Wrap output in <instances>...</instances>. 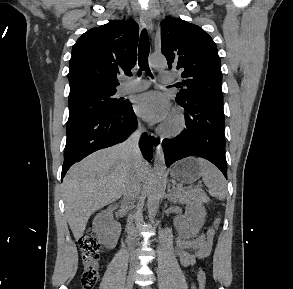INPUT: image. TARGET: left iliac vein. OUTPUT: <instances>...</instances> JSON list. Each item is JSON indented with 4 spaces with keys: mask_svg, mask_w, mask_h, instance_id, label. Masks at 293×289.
Segmentation results:
<instances>
[{
    "mask_svg": "<svg viewBox=\"0 0 293 289\" xmlns=\"http://www.w3.org/2000/svg\"><path fill=\"white\" fill-rule=\"evenodd\" d=\"M145 289H151L149 286H146Z\"/></svg>",
    "mask_w": 293,
    "mask_h": 289,
    "instance_id": "4c4485c4",
    "label": "left iliac vein"
}]
</instances>
